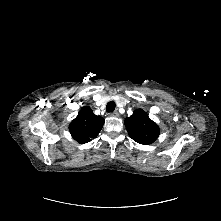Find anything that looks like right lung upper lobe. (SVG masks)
I'll return each instance as SVG.
<instances>
[{
	"label": "right lung upper lobe",
	"mask_w": 221,
	"mask_h": 221,
	"mask_svg": "<svg viewBox=\"0 0 221 221\" xmlns=\"http://www.w3.org/2000/svg\"><path fill=\"white\" fill-rule=\"evenodd\" d=\"M104 124V119L93 113L91 108L84 106L77 117L70 123L71 136L80 144L90 142L97 137Z\"/></svg>",
	"instance_id": "1"
}]
</instances>
